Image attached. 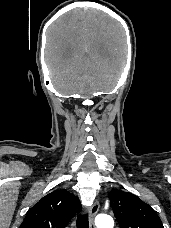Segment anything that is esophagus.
Returning <instances> with one entry per match:
<instances>
[{
	"instance_id": "obj_1",
	"label": "esophagus",
	"mask_w": 171,
	"mask_h": 228,
	"mask_svg": "<svg viewBox=\"0 0 171 228\" xmlns=\"http://www.w3.org/2000/svg\"><path fill=\"white\" fill-rule=\"evenodd\" d=\"M99 202L95 201L94 204L89 209V228H95L94 219L99 211Z\"/></svg>"
}]
</instances>
